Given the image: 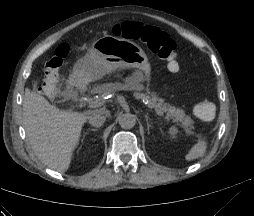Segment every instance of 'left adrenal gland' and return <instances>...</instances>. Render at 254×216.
<instances>
[{
    "mask_svg": "<svg viewBox=\"0 0 254 216\" xmlns=\"http://www.w3.org/2000/svg\"><path fill=\"white\" fill-rule=\"evenodd\" d=\"M145 119H146V123H147V130L149 132V130H150L149 117L147 115H145Z\"/></svg>",
    "mask_w": 254,
    "mask_h": 216,
    "instance_id": "a2214340",
    "label": "left adrenal gland"
}]
</instances>
